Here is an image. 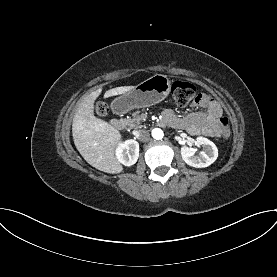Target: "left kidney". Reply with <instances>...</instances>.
Returning <instances> with one entry per match:
<instances>
[{
	"instance_id": "1",
	"label": "left kidney",
	"mask_w": 277,
	"mask_h": 277,
	"mask_svg": "<svg viewBox=\"0 0 277 277\" xmlns=\"http://www.w3.org/2000/svg\"><path fill=\"white\" fill-rule=\"evenodd\" d=\"M198 146H203V151L195 155L191 147H181V156L186 164L196 168H204L211 165L218 157V149L216 145L205 137L196 139Z\"/></svg>"
}]
</instances>
